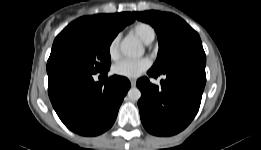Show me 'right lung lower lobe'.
Returning <instances> with one entry per match:
<instances>
[{
	"mask_svg": "<svg viewBox=\"0 0 261 150\" xmlns=\"http://www.w3.org/2000/svg\"><path fill=\"white\" fill-rule=\"evenodd\" d=\"M104 76L107 73L101 72ZM93 73L61 71L48 74V93L57 115L73 132L96 136L115 122L130 88L127 78L111 76L95 82Z\"/></svg>",
	"mask_w": 261,
	"mask_h": 150,
	"instance_id": "1",
	"label": "right lung lower lobe"
}]
</instances>
